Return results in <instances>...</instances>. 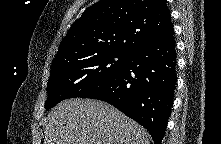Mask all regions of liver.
I'll use <instances>...</instances> for the list:
<instances>
[{
	"label": "liver",
	"mask_w": 221,
	"mask_h": 144,
	"mask_svg": "<svg viewBox=\"0 0 221 144\" xmlns=\"http://www.w3.org/2000/svg\"><path fill=\"white\" fill-rule=\"evenodd\" d=\"M47 119L44 144H149L146 129L99 100H64Z\"/></svg>",
	"instance_id": "liver-1"
}]
</instances>
